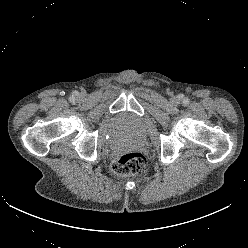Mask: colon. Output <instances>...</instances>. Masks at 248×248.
Wrapping results in <instances>:
<instances>
[{"mask_svg":"<svg viewBox=\"0 0 248 248\" xmlns=\"http://www.w3.org/2000/svg\"><path fill=\"white\" fill-rule=\"evenodd\" d=\"M145 164L146 159L142 153L128 152L117 155L112 161L111 169L117 175H134L141 172Z\"/></svg>","mask_w":248,"mask_h":248,"instance_id":"1","label":"colon"}]
</instances>
